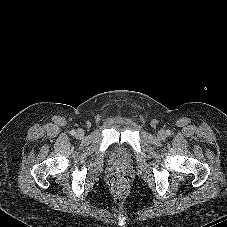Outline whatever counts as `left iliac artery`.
<instances>
[{
    "label": "left iliac artery",
    "instance_id": "44dca946",
    "mask_svg": "<svg viewBox=\"0 0 227 227\" xmlns=\"http://www.w3.org/2000/svg\"><path fill=\"white\" fill-rule=\"evenodd\" d=\"M167 134H168V135H170V134H171V132L168 130V131H167Z\"/></svg>",
    "mask_w": 227,
    "mask_h": 227
}]
</instances>
